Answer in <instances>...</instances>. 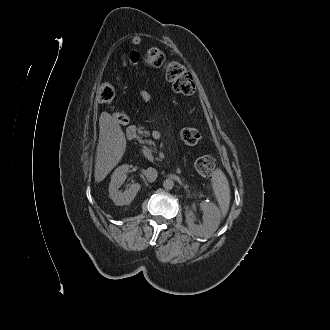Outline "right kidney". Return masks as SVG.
<instances>
[{"instance_id":"ca27d5eb","label":"right kidney","mask_w":330,"mask_h":330,"mask_svg":"<svg viewBox=\"0 0 330 330\" xmlns=\"http://www.w3.org/2000/svg\"><path fill=\"white\" fill-rule=\"evenodd\" d=\"M128 171L129 165L123 164L116 168L111 176V181L109 184V197L113 200L115 205L123 206L130 204L141 188L139 183H134L130 186V188L123 192L119 190L127 178Z\"/></svg>"}]
</instances>
